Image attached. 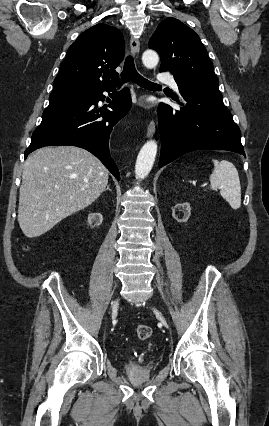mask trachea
Listing matches in <instances>:
<instances>
[{
  "instance_id": "3493384b",
  "label": "trachea",
  "mask_w": 269,
  "mask_h": 426,
  "mask_svg": "<svg viewBox=\"0 0 269 426\" xmlns=\"http://www.w3.org/2000/svg\"><path fill=\"white\" fill-rule=\"evenodd\" d=\"M122 81L126 82L129 80H132L137 85L143 87V88H160L161 86L153 83L144 77H142L136 70L133 57L127 56L125 63H124V69L121 73Z\"/></svg>"
}]
</instances>
